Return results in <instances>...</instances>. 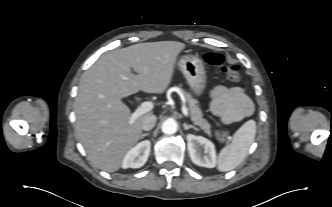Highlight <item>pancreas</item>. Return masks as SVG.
<instances>
[{"instance_id":"pancreas-1","label":"pancreas","mask_w":332,"mask_h":207,"mask_svg":"<svg viewBox=\"0 0 332 207\" xmlns=\"http://www.w3.org/2000/svg\"><path fill=\"white\" fill-rule=\"evenodd\" d=\"M182 92L190 108L191 120L195 125L199 126L208 136H211V125L207 120L202 117V111L197 104V100L194 99L191 94L184 91ZM226 136V132H216V137L219 141H222Z\"/></svg>"}]
</instances>
